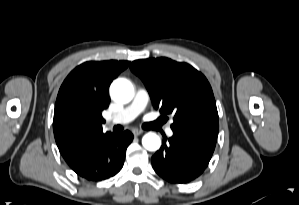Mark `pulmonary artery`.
<instances>
[{
    "instance_id": "pulmonary-artery-1",
    "label": "pulmonary artery",
    "mask_w": 299,
    "mask_h": 205,
    "mask_svg": "<svg viewBox=\"0 0 299 205\" xmlns=\"http://www.w3.org/2000/svg\"><path fill=\"white\" fill-rule=\"evenodd\" d=\"M149 101L148 92L145 89H139L132 103L124 108L121 112L115 115L111 120V124H126L134 120L140 113H142ZM167 134L169 136L173 135L170 128L167 129Z\"/></svg>"
}]
</instances>
